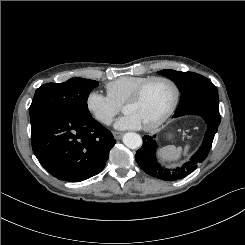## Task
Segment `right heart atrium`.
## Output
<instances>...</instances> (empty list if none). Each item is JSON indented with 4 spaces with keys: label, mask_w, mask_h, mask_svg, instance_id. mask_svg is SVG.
Returning a JSON list of instances; mask_svg holds the SVG:
<instances>
[{
    "label": "right heart atrium",
    "mask_w": 245,
    "mask_h": 245,
    "mask_svg": "<svg viewBox=\"0 0 245 245\" xmlns=\"http://www.w3.org/2000/svg\"><path fill=\"white\" fill-rule=\"evenodd\" d=\"M85 106L89 114L102 125L111 124L119 112V106L108 95L97 90L86 95Z\"/></svg>",
    "instance_id": "right-heart-atrium-1"
}]
</instances>
